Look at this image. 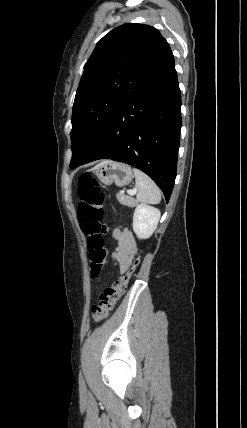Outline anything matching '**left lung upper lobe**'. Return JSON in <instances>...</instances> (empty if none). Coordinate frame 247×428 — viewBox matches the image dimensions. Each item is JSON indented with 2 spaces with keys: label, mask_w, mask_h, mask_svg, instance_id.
I'll return each instance as SVG.
<instances>
[{
  "label": "left lung upper lobe",
  "mask_w": 247,
  "mask_h": 428,
  "mask_svg": "<svg viewBox=\"0 0 247 428\" xmlns=\"http://www.w3.org/2000/svg\"><path fill=\"white\" fill-rule=\"evenodd\" d=\"M172 56L167 41L149 25L124 24L98 41L74 100L70 168L86 159L120 104Z\"/></svg>",
  "instance_id": "5c2ea615"
}]
</instances>
